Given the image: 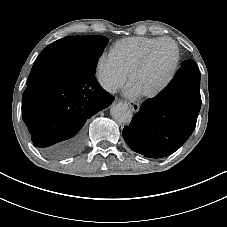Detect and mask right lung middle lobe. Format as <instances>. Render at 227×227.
I'll return each instance as SVG.
<instances>
[{"mask_svg": "<svg viewBox=\"0 0 227 227\" xmlns=\"http://www.w3.org/2000/svg\"><path fill=\"white\" fill-rule=\"evenodd\" d=\"M107 43L108 38L100 35L66 36L50 44L44 50L57 47L53 56L59 73L77 78L94 79L98 59ZM45 76L44 68L33 65L27 86L43 81Z\"/></svg>", "mask_w": 227, "mask_h": 227, "instance_id": "dd1d6c3e", "label": "right lung middle lobe"}]
</instances>
